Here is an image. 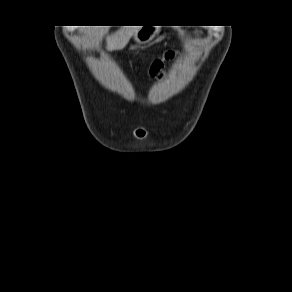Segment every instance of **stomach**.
<instances>
[{
	"label": "stomach",
	"instance_id": "stomach-1",
	"mask_svg": "<svg viewBox=\"0 0 292 292\" xmlns=\"http://www.w3.org/2000/svg\"><path fill=\"white\" fill-rule=\"evenodd\" d=\"M153 31L150 27H144L138 33L135 34L134 40L138 44L147 43L153 38Z\"/></svg>",
	"mask_w": 292,
	"mask_h": 292
}]
</instances>
